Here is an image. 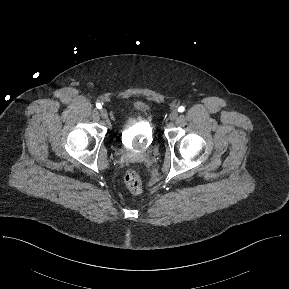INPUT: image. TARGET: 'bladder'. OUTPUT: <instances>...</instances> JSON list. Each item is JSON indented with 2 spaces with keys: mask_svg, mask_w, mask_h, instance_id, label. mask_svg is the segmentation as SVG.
<instances>
[{
  "mask_svg": "<svg viewBox=\"0 0 289 289\" xmlns=\"http://www.w3.org/2000/svg\"><path fill=\"white\" fill-rule=\"evenodd\" d=\"M146 131L147 127L141 117H129L122 126L121 140L126 146L137 148L142 145L141 138Z\"/></svg>",
  "mask_w": 289,
  "mask_h": 289,
  "instance_id": "31cf9c89",
  "label": "bladder"
}]
</instances>
